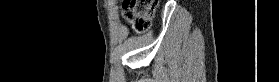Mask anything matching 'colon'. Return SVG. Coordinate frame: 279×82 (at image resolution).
<instances>
[{
  "mask_svg": "<svg viewBox=\"0 0 279 82\" xmlns=\"http://www.w3.org/2000/svg\"><path fill=\"white\" fill-rule=\"evenodd\" d=\"M159 0H124L122 19L136 32L147 30L154 17Z\"/></svg>",
  "mask_w": 279,
  "mask_h": 82,
  "instance_id": "obj_1",
  "label": "colon"
}]
</instances>
